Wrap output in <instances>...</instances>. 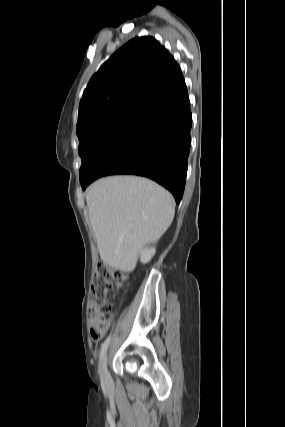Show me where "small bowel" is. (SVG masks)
Instances as JSON below:
<instances>
[{
  "instance_id": "obj_1",
  "label": "small bowel",
  "mask_w": 285,
  "mask_h": 427,
  "mask_svg": "<svg viewBox=\"0 0 285 427\" xmlns=\"http://www.w3.org/2000/svg\"><path fill=\"white\" fill-rule=\"evenodd\" d=\"M93 304H94V302H91L90 306L92 307V306H93Z\"/></svg>"
}]
</instances>
